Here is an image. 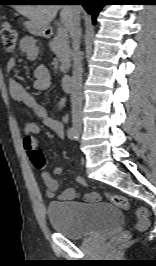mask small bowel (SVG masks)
Returning <instances> with one entry per match:
<instances>
[{"label":"small bowel","instance_id":"c3829d8e","mask_svg":"<svg viewBox=\"0 0 156 266\" xmlns=\"http://www.w3.org/2000/svg\"><path fill=\"white\" fill-rule=\"evenodd\" d=\"M20 50L26 54L29 59L36 58L38 54V47L36 42L31 37H24L20 41ZM15 67V60L10 59L7 64L8 72H12ZM51 83L50 74L45 66H38L34 71V87L37 90H46L49 88ZM9 93L13 100L22 102L28 108H30L39 118L42 119L43 123L50 128L59 138L64 137V125L61 121L51 118L48 116L46 108L30 94L23 85L14 77L9 78ZM64 106V101L61 102V107ZM40 132V127L35 122H27L24 125V137H23V148L29 153L36 150L38 147V139L36 135ZM42 178L44 181L45 189L50 197L57 195L59 200L71 201L77 197V192L73 188H67L64 191L58 193V182L51 177V175L43 170ZM85 199L90 202H95L100 199V196L95 193H88Z\"/></svg>","mask_w":156,"mask_h":266}]
</instances>
